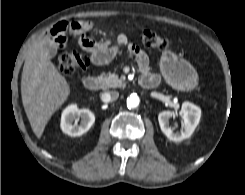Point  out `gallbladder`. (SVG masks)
<instances>
[{"label": "gallbladder", "instance_id": "obj_1", "mask_svg": "<svg viewBox=\"0 0 245 195\" xmlns=\"http://www.w3.org/2000/svg\"><path fill=\"white\" fill-rule=\"evenodd\" d=\"M56 55V48L55 47H49V57H53Z\"/></svg>", "mask_w": 245, "mask_h": 195}]
</instances>
